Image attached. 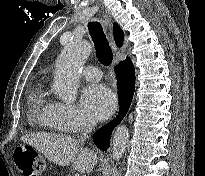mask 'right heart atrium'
Instances as JSON below:
<instances>
[{
    "mask_svg": "<svg viewBox=\"0 0 205 176\" xmlns=\"http://www.w3.org/2000/svg\"><path fill=\"white\" fill-rule=\"evenodd\" d=\"M56 115L60 124L68 129H82L91 124V120L74 104L56 103Z\"/></svg>",
    "mask_w": 205,
    "mask_h": 176,
    "instance_id": "obj_1",
    "label": "right heart atrium"
}]
</instances>
